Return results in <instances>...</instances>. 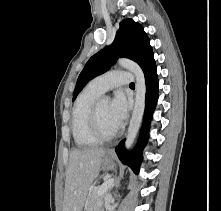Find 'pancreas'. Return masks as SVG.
<instances>
[{
	"mask_svg": "<svg viewBox=\"0 0 221 211\" xmlns=\"http://www.w3.org/2000/svg\"><path fill=\"white\" fill-rule=\"evenodd\" d=\"M99 188H94L86 199V211H101L104 203L105 193L101 196L98 195Z\"/></svg>",
	"mask_w": 221,
	"mask_h": 211,
	"instance_id": "cf45deb5",
	"label": "pancreas"
}]
</instances>
